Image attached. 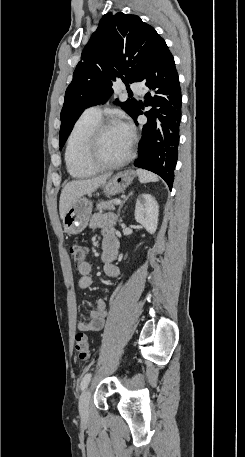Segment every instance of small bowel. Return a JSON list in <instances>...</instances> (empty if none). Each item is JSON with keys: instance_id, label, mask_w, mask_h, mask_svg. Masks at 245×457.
I'll return each mask as SVG.
<instances>
[{"instance_id": "small-bowel-1", "label": "small bowel", "mask_w": 245, "mask_h": 457, "mask_svg": "<svg viewBox=\"0 0 245 457\" xmlns=\"http://www.w3.org/2000/svg\"><path fill=\"white\" fill-rule=\"evenodd\" d=\"M116 216L112 213H96L89 222L92 229H100L103 236L102 262L104 272L109 277H118L120 269L114 264L117 256L118 242L115 235ZM79 278L78 285L82 289L89 288L92 284L91 265L85 261L78 266ZM107 317L106 302L100 298L89 310V320H79L77 328L82 332L100 331Z\"/></svg>"}]
</instances>
